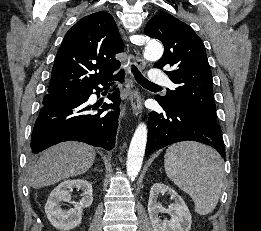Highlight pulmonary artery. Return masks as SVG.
Returning a JSON list of instances; mask_svg holds the SVG:
<instances>
[{
	"label": "pulmonary artery",
	"mask_w": 261,
	"mask_h": 231,
	"mask_svg": "<svg viewBox=\"0 0 261 231\" xmlns=\"http://www.w3.org/2000/svg\"><path fill=\"white\" fill-rule=\"evenodd\" d=\"M149 81L157 85H167L173 87V84L169 81L168 77L159 69L150 70Z\"/></svg>",
	"instance_id": "1"
}]
</instances>
